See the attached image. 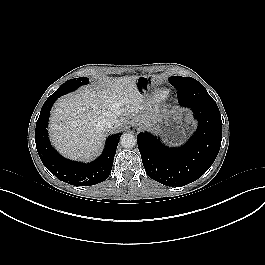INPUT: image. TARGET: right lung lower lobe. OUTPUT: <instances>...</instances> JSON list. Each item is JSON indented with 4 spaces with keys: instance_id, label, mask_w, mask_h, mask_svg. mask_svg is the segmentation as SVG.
Masks as SVG:
<instances>
[{
    "instance_id": "right-lung-lower-lobe-1",
    "label": "right lung lower lobe",
    "mask_w": 265,
    "mask_h": 265,
    "mask_svg": "<svg viewBox=\"0 0 265 265\" xmlns=\"http://www.w3.org/2000/svg\"><path fill=\"white\" fill-rule=\"evenodd\" d=\"M56 98L45 101L35 130V142L42 163L59 180L75 186H91L106 180L111 172L113 159L121 133L107 139L102 155L95 161L84 164L62 157L50 144L48 119Z\"/></svg>"
}]
</instances>
